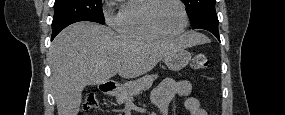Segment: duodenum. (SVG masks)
Returning a JSON list of instances; mask_svg holds the SVG:
<instances>
[{
	"mask_svg": "<svg viewBox=\"0 0 285 115\" xmlns=\"http://www.w3.org/2000/svg\"><path fill=\"white\" fill-rule=\"evenodd\" d=\"M117 88V84L114 82H104L100 85V90L103 94H111Z\"/></svg>",
	"mask_w": 285,
	"mask_h": 115,
	"instance_id": "obj_1",
	"label": "duodenum"
}]
</instances>
